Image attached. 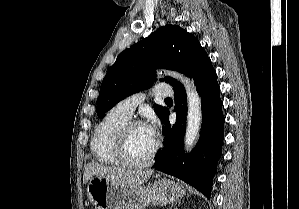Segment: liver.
Segmentation results:
<instances>
[{"instance_id":"liver-1","label":"liver","mask_w":299,"mask_h":209,"mask_svg":"<svg viewBox=\"0 0 299 209\" xmlns=\"http://www.w3.org/2000/svg\"><path fill=\"white\" fill-rule=\"evenodd\" d=\"M153 174V170H129L91 162L85 167L83 183L92 176H101L118 185H141Z\"/></svg>"}]
</instances>
